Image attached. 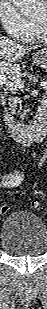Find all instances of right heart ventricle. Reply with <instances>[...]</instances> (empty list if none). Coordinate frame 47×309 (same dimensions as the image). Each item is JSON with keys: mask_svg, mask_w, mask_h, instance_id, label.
<instances>
[{"mask_svg": "<svg viewBox=\"0 0 47 309\" xmlns=\"http://www.w3.org/2000/svg\"><path fill=\"white\" fill-rule=\"evenodd\" d=\"M39 39V35L37 34L34 26H33V30H32V33L30 34V36L28 37V39L26 41L28 42H31V41H35Z\"/></svg>", "mask_w": 47, "mask_h": 309, "instance_id": "obj_1", "label": "right heart ventricle"}]
</instances>
